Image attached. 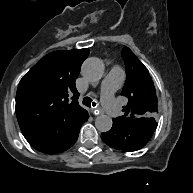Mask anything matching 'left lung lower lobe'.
<instances>
[{
	"label": "left lung lower lobe",
	"instance_id": "1",
	"mask_svg": "<svg viewBox=\"0 0 193 193\" xmlns=\"http://www.w3.org/2000/svg\"><path fill=\"white\" fill-rule=\"evenodd\" d=\"M156 127V121L137 122L130 120L121 122L118 119H113L112 129L102 133L101 138L110 147L132 152L147 144Z\"/></svg>",
	"mask_w": 193,
	"mask_h": 193
}]
</instances>
